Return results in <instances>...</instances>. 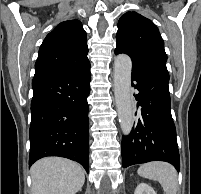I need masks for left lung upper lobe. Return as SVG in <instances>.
<instances>
[{
  "mask_svg": "<svg viewBox=\"0 0 201 194\" xmlns=\"http://www.w3.org/2000/svg\"><path fill=\"white\" fill-rule=\"evenodd\" d=\"M115 53H126L136 68H147L168 74L164 41L157 26L148 18L127 12L118 22Z\"/></svg>",
  "mask_w": 201,
  "mask_h": 194,
  "instance_id": "1",
  "label": "left lung upper lobe"
}]
</instances>
